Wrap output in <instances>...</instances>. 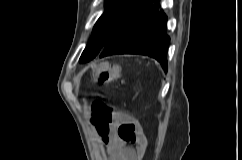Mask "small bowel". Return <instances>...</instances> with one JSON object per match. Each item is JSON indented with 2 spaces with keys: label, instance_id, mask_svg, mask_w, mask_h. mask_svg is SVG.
I'll return each mask as SVG.
<instances>
[{
  "label": "small bowel",
  "instance_id": "c3829d8e",
  "mask_svg": "<svg viewBox=\"0 0 242 160\" xmlns=\"http://www.w3.org/2000/svg\"><path fill=\"white\" fill-rule=\"evenodd\" d=\"M132 124L135 127L133 140L122 136V127ZM102 142L106 145L110 160H139L145 153L148 141L142 129L132 117L126 113H116L108 128L99 132Z\"/></svg>",
  "mask_w": 242,
  "mask_h": 160
}]
</instances>
